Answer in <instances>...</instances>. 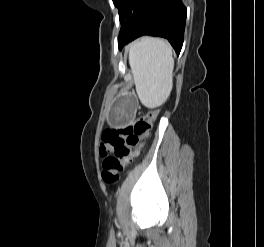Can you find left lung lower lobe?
<instances>
[{"label":"left lung lower lobe","instance_id":"obj_1","mask_svg":"<svg viewBox=\"0 0 264 247\" xmlns=\"http://www.w3.org/2000/svg\"><path fill=\"white\" fill-rule=\"evenodd\" d=\"M186 15L182 0H145L118 37V46L121 50L125 44L142 35L158 36L168 39L179 54Z\"/></svg>","mask_w":264,"mask_h":247}]
</instances>
